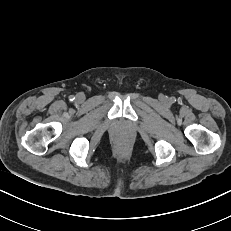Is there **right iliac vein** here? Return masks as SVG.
Wrapping results in <instances>:
<instances>
[{
    "label": "right iliac vein",
    "mask_w": 231,
    "mask_h": 231,
    "mask_svg": "<svg viewBox=\"0 0 231 231\" xmlns=\"http://www.w3.org/2000/svg\"><path fill=\"white\" fill-rule=\"evenodd\" d=\"M85 100V95L83 93H79L76 95L77 102H83Z\"/></svg>",
    "instance_id": "right-iliac-vein-1"
}]
</instances>
